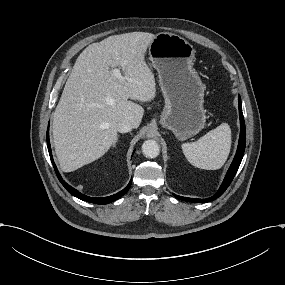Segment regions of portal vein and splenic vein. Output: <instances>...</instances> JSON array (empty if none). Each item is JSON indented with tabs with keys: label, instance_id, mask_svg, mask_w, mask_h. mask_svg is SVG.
Listing matches in <instances>:
<instances>
[{
	"label": "portal vein and splenic vein",
	"instance_id": "obj_1",
	"mask_svg": "<svg viewBox=\"0 0 285 285\" xmlns=\"http://www.w3.org/2000/svg\"><path fill=\"white\" fill-rule=\"evenodd\" d=\"M112 74L118 79V80H126V78L124 76H122L120 70L118 68H115L112 70Z\"/></svg>",
	"mask_w": 285,
	"mask_h": 285
}]
</instances>
